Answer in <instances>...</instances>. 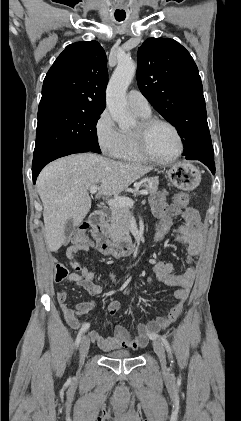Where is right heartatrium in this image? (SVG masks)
<instances>
[{
	"label": "right heart atrium",
	"mask_w": 241,
	"mask_h": 421,
	"mask_svg": "<svg viewBox=\"0 0 241 421\" xmlns=\"http://www.w3.org/2000/svg\"><path fill=\"white\" fill-rule=\"evenodd\" d=\"M94 132L102 153L109 157H115L121 133L108 109L100 113L95 122Z\"/></svg>",
	"instance_id": "obj_1"
}]
</instances>
